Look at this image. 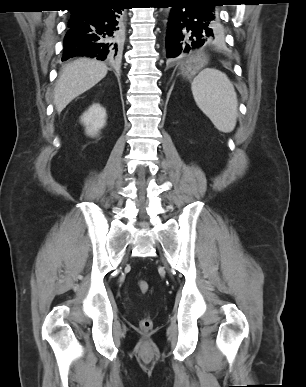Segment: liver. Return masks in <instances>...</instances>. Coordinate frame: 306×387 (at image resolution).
I'll return each instance as SVG.
<instances>
[{
  "label": "liver",
  "instance_id": "1",
  "mask_svg": "<svg viewBox=\"0 0 306 387\" xmlns=\"http://www.w3.org/2000/svg\"><path fill=\"white\" fill-rule=\"evenodd\" d=\"M107 71L106 64L87 58L68 63L55 86L54 105L57 111L61 112L73 99L94 87Z\"/></svg>",
  "mask_w": 306,
  "mask_h": 387
}]
</instances>
